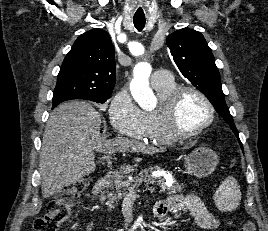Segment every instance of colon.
I'll return each mask as SVG.
<instances>
[{
    "label": "colon",
    "instance_id": "5ec220e1",
    "mask_svg": "<svg viewBox=\"0 0 268 231\" xmlns=\"http://www.w3.org/2000/svg\"><path fill=\"white\" fill-rule=\"evenodd\" d=\"M86 187L84 181H76L62 189L47 205V211L34 221L33 231H58L71 217ZM241 231H256L253 221L244 223Z\"/></svg>",
    "mask_w": 268,
    "mask_h": 231
}]
</instances>
